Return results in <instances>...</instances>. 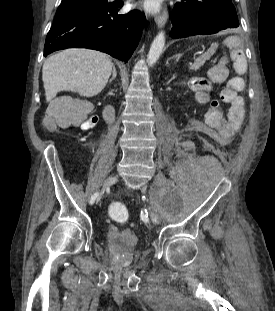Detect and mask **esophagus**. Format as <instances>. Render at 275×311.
Instances as JSON below:
<instances>
[{"label": "esophagus", "instance_id": "obj_1", "mask_svg": "<svg viewBox=\"0 0 275 311\" xmlns=\"http://www.w3.org/2000/svg\"><path fill=\"white\" fill-rule=\"evenodd\" d=\"M168 18L167 10L164 9L160 14L155 16V22L159 27H162L165 25Z\"/></svg>", "mask_w": 275, "mask_h": 311}]
</instances>
